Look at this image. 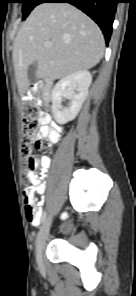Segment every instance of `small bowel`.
<instances>
[{
	"label": "small bowel",
	"mask_w": 136,
	"mask_h": 296,
	"mask_svg": "<svg viewBox=\"0 0 136 296\" xmlns=\"http://www.w3.org/2000/svg\"><path fill=\"white\" fill-rule=\"evenodd\" d=\"M40 119L42 121V125L41 127L39 128V131H38V138H44V137H47L52 143H55L57 140H58V137H59V130L55 127H53L51 125V116L46 113V112H41V115H40ZM48 162L49 160L47 158L43 159L42 161V165L43 166H46L48 165ZM34 182H35V185H36V190L37 191H43V186H42V183H41V179L40 178H35L34 179ZM39 216H40V219L38 221H33L32 224L34 226H37L40 224V222L42 221V218H43V212L41 210H39Z\"/></svg>",
	"instance_id": "1"
}]
</instances>
